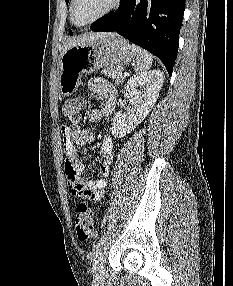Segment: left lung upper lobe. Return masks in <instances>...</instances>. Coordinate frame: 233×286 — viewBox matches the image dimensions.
Instances as JSON below:
<instances>
[{"instance_id": "5c2ea615", "label": "left lung upper lobe", "mask_w": 233, "mask_h": 286, "mask_svg": "<svg viewBox=\"0 0 233 286\" xmlns=\"http://www.w3.org/2000/svg\"><path fill=\"white\" fill-rule=\"evenodd\" d=\"M65 1H66V4H67L69 0H65ZM69 33H70V35H72V31L71 30H69Z\"/></svg>"}]
</instances>
